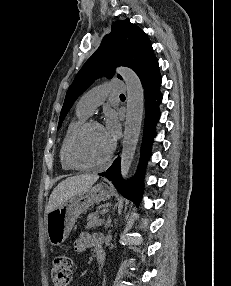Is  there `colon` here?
<instances>
[{
    "label": "colon",
    "mask_w": 231,
    "mask_h": 286,
    "mask_svg": "<svg viewBox=\"0 0 231 286\" xmlns=\"http://www.w3.org/2000/svg\"><path fill=\"white\" fill-rule=\"evenodd\" d=\"M51 276L54 286H68L72 277V260L66 254H58L52 263Z\"/></svg>",
    "instance_id": "1"
}]
</instances>
